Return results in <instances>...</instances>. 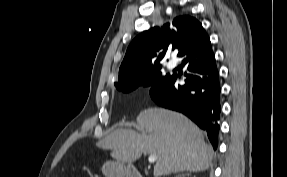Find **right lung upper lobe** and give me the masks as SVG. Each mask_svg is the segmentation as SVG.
<instances>
[{"mask_svg":"<svg viewBox=\"0 0 287 177\" xmlns=\"http://www.w3.org/2000/svg\"><path fill=\"white\" fill-rule=\"evenodd\" d=\"M203 30L197 19L180 16L161 28L140 33L127 48L115 86L137 81L161 66L169 49L176 50L178 56L184 45Z\"/></svg>","mask_w":287,"mask_h":177,"instance_id":"1","label":"right lung upper lobe"}]
</instances>
